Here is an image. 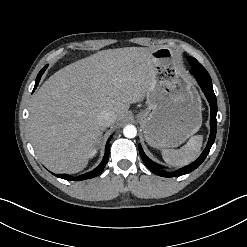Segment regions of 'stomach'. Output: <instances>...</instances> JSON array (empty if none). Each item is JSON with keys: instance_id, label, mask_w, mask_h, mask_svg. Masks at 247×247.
Segmentation results:
<instances>
[{"instance_id": "0dacf381", "label": "stomach", "mask_w": 247, "mask_h": 247, "mask_svg": "<svg viewBox=\"0 0 247 247\" xmlns=\"http://www.w3.org/2000/svg\"><path fill=\"white\" fill-rule=\"evenodd\" d=\"M147 108L137 114L145 140L156 148H173L195 134L202 124L201 98L193 81L177 66L173 51L158 48Z\"/></svg>"}]
</instances>
